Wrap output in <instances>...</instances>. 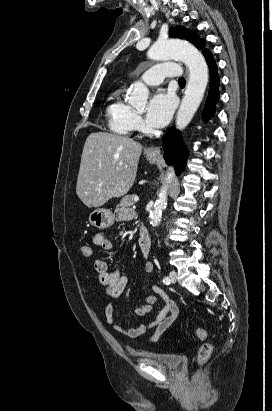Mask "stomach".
<instances>
[{
	"mask_svg": "<svg viewBox=\"0 0 272 411\" xmlns=\"http://www.w3.org/2000/svg\"><path fill=\"white\" fill-rule=\"evenodd\" d=\"M147 159L151 163L157 162L158 158L155 156L147 155ZM91 225L98 229H105L114 224V216L109 209L97 208L89 214L88 218Z\"/></svg>",
	"mask_w": 272,
	"mask_h": 411,
	"instance_id": "stomach-1",
	"label": "stomach"
}]
</instances>
